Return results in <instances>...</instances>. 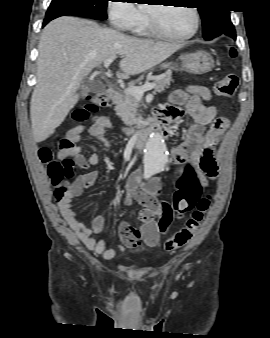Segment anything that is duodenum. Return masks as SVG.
Here are the masks:
<instances>
[{
    "label": "duodenum",
    "instance_id": "410a0bca",
    "mask_svg": "<svg viewBox=\"0 0 270 338\" xmlns=\"http://www.w3.org/2000/svg\"><path fill=\"white\" fill-rule=\"evenodd\" d=\"M108 97L112 102H118L120 100V93L115 88H110L107 91ZM169 132V124L161 115H156L152 118V121L148 124H144L140 131L135 143L137 149H141L146 143L147 139L152 133H156L163 137Z\"/></svg>",
    "mask_w": 270,
    "mask_h": 338
}]
</instances>
